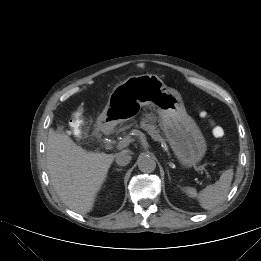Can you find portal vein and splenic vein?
<instances>
[{"instance_id": "1", "label": "portal vein and splenic vein", "mask_w": 261, "mask_h": 261, "mask_svg": "<svg viewBox=\"0 0 261 261\" xmlns=\"http://www.w3.org/2000/svg\"><path fill=\"white\" fill-rule=\"evenodd\" d=\"M132 141V138L130 136H125L117 145V148H125L126 146L129 145V143H131ZM202 170V169H200ZM205 175H206V178L208 179V181H213V179L211 178L210 174L205 171Z\"/></svg>"}]
</instances>
